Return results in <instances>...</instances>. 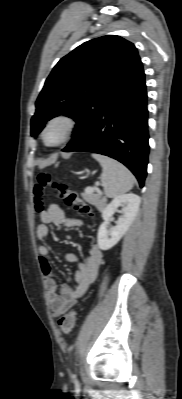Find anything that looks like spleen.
Listing matches in <instances>:
<instances>
[{"label": "spleen", "instance_id": "1", "mask_svg": "<svg viewBox=\"0 0 182 399\" xmlns=\"http://www.w3.org/2000/svg\"><path fill=\"white\" fill-rule=\"evenodd\" d=\"M92 157L102 166L100 179L108 197H116L132 189L134 176L124 165L107 156L93 154Z\"/></svg>", "mask_w": 182, "mask_h": 399}]
</instances>
